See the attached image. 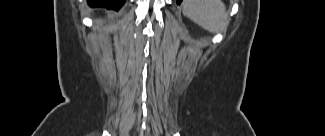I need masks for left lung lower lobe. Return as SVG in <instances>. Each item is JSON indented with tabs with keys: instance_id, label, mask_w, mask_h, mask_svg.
Segmentation results:
<instances>
[{
	"instance_id": "1",
	"label": "left lung lower lobe",
	"mask_w": 325,
	"mask_h": 136,
	"mask_svg": "<svg viewBox=\"0 0 325 136\" xmlns=\"http://www.w3.org/2000/svg\"><path fill=\"white\" fill-rule=\"evenodd\" d=\"M176 2H177L178 4H180V3L182 2V0H176Z\"/></svg>"
}]
</instances>
